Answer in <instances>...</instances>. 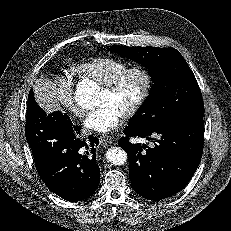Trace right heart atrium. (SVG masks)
<instances>
[{
    "mask_svg": "<svg viewBox=\"0 0 231 231\" xmlns=\"http://www.w3.org/2000/svg\"><path fill=\"white\" fill-rule=\"evenodd\" d=\"M51 90L53 98L61 108L76 116L82 115L83 109L75 100L73 81L68 74L60 73L56 75Z\"/></svg>",
    "mask_w": 231,
    "mask_h": 231,
    "instance_id": "obj_1",
    "label": "right heart atrium"
}]
</instances>
